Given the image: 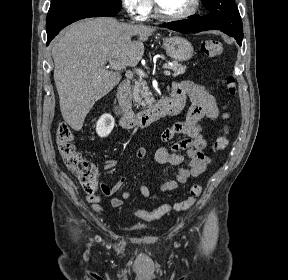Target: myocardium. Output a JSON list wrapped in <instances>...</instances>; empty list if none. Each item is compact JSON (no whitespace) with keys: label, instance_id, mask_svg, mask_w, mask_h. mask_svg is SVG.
<instances>
[{"label":"myocardium","instance_id":"f54148a6","mask_svg":"<svg viewBox=\"0 0 288 280\" xmlns=\"http://www.w3.org/2000/svg\"><path fill=\"white\" fill-rule=\"evenodd\" d=\"M201 5V0H193V4L192 7L187 10L184 13L181 14H177V15H170V14H166L165 12L162 11V9L160 8V6L158 5L157 1L155 0V12L157 14L158 17L167 20V21H181V20H185L188 19L190 17H192L193 15H195Z\"/></svg>","mask_w":288,"mask_h":280}]
</instances>
